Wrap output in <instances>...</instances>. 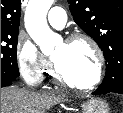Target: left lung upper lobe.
Masks as SVG:
<instances>
[{
    "instance_id": "5c2ea615",
    "label": "left lung upper lobe",
    "mask_w": 123,
    "mask_h": 113,
    "mask_svg": "<svg viewBox=\"0 0 123 113\" xmlns=\"http://www.w3.org/2000/svg\"><path fill=\"white\" fill-rule=\"evenodd\" d=\"M76 24L104 52L102 87L123 86V0H68Z\"/></svg>"
}]
</instances>
